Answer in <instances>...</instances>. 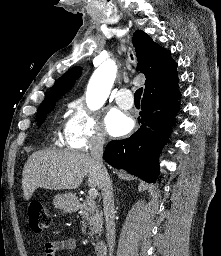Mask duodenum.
Masks as SVG:
<instances>
[{"label": "duodenum", "mask_w": 221, "mask_h": 256, "mask_svg": "<svg viewBox=\"0 0 221 256\" xmlns=\"http://www.w3.org/2000/svg\"><path fill=\"white\" fill-rule=\"evenodd\" d=\"M94 250L97 256L107 255V245L103 239H99L95 242Z\"/></svg>", "instance_id": "410a0bca"}]
</instances>
